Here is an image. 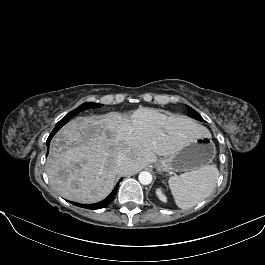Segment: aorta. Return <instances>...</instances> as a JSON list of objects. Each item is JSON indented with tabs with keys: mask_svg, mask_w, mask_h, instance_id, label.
I'll return each mask as SVG.
<instances>
[{
	"mask_svg": "<svg viewBox=\"0 0 265 265\" xmlns=\"http://www.w3.org/2000/svg\"><path fill=\"white\" fill-rule=\"evenodd\" d=\"M138 180L143 185H149L152 182V175L148 171H142L138 176Z\"/></svg>",
	"mask_w": 265,
	"mask_h": 265,
	"instance_id": "762f6f07",
	"label": "aorta"
}]
</instances>
